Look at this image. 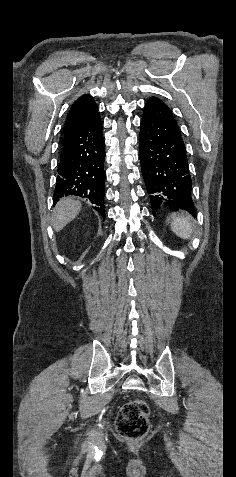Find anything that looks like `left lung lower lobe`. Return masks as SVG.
<instances>
[{"instance_id":"0a47b994","label":"left lung lower lobe","mask_w":236,"mask_h":477,"mask_svg":"<svg viewBox=\"0 0 236 477\" xmlns=\"http://www.w3.org/2000/svg\"><path fill=\"white\" fill-rule=\"evenodd\" d=\"M139 144L153 214L167 206L195 215L185 145L172 111L159 98L151 97L145 104Z\"/></svg>"}]
</instances>
